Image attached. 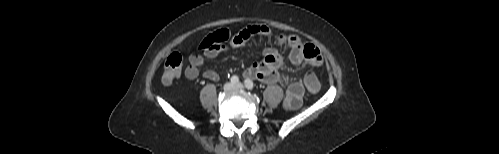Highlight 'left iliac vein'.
Instances as JSON below:
<instances>
[{
  "instance_id": "4c4485c4",
  "label": "left iliac vein",
  "mask_w": 499,
  "mask_h": 154,
  "mask_svg": "<svg viewBox=\"0 0 499 154\" xmlns=\"http://www.w3.org/2000/svg\"><path fill=\"white\" fill-rule=\"evenodd\" d=\"M235 88H236V89H243V88H244V86H243V84H242V83H237V84L235 85Z\"/></svg>"
}]
</instances>
